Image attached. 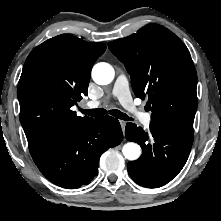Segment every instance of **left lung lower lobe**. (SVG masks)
<instances>
[{
    "instance_id": "obj_1",
    "label": "left lung lower lobe",
    "mask_w": 221,
    "mask_h": 221,
    "mask_svg": "<svg viewBox=\"0 0 221 221\" xmlns=\"http://www.w3.org/2000/svg\"><path fill=\"white\" fill-rule=\"evenodd\" d=\"M125 137L142 147L141 157L128 163V173L137 184L148 188L170 182L185 165L193 143V136L152 122L148 132L127 123Z\"/></svg>"
}]
</instances>
